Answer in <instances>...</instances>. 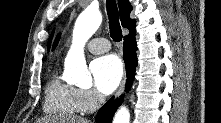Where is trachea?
<instances>
[{"instance_id": "1", "label": "trachea", "mask_w": 221, "mask_h": 123, "mask_svg": "<svg viewBox=\"0 0 221 123\" xmlns=\"http://www.w3.org/2000/svg\"><path fill=\"white\" fill-rule=\"evenodd\" d=\"M107 14L109 17V29L111 38L120 42L122 40V30L119 24L118 8L115 0H107Z\"/></svg>"}]
</instances>
